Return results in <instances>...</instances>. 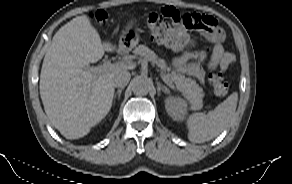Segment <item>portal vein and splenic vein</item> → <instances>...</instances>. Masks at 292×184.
<instances>
[{
  "instance_id": "18ae733b",
  "label": "portal vein and splenic vein",
  "mask_w": 292,
  "mask_h": 184,
  "mask_svg": "<svg viewBox=\"0 0 292 184\" xmlns=\"http://www.w3.org/2000/svg\"><path fill=\"white\" fill-rule=\"evenodd\" d=\"M131 65V62L128 61V62H118V63H111V61H105L103 63V65L101 66H98V67H94V68H89L88 71L89 72H93V73H102V72H106V71H109V70H112L114 68H118V67H127V66H130ZM161 77L163 79V81H165L166 83H168V79L167 77L161 73Z\"/></svg>"
}]
</instances>
